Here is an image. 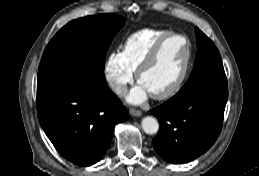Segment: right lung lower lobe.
Instances as JSON below:
<instances>
[{"label": "right lung lower lobe", "instance_id": "98d812e1", "mask_svg": "<svg viewBox=\"0 0 259 176\" xmlns=\"http://www.w3.org/2000/svg\"><path fill=\"white\" fill-rule=\"evenodd\" d=\"M103 71L68 63L38 72L39 122L56 150L76 165L98 162L115 124L128 118Z\"/></svg>", "mask_w": 259, "mask_h": 176}]
</instances>
